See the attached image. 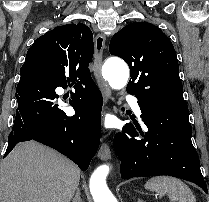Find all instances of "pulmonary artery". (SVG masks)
I'll return each mask as SVG.
<instances>
[{
    "label": "pulmonary artery",
    "instance_id": "pulmonary-artery-1",
    "mask_svg": "<svg viewBox=\"0 0 209 202\" xmlns=\"http://www.w3.org/2000/svg\"><path fill=\"white\" fill-rule=\"evenodd\" d=\"M127 101L130 105V107L132 108V110L139 114L140 113V103L139 101L135 98V97H132V96H127Z\"/></svg>",
    "mask_w": 209,
    "mask_h": 202
}]
</instances>
